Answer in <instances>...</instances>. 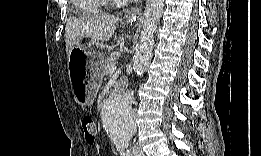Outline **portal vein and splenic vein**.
<instances>
[{
  "label": "portal vein and splenic vein",
  "mask_w": 261,
  "mask_h": 156,
  "mask_svg": "<svg viewBox=\"0 0 261 156\" xmlns=\"http://www.w3.org/2000/svg\"><path fill=\"white\" fill-rule=\"evenodd\" d=\"M116 70H117V66L116 65H112L110 67V74H113Z\"/></svg>",
  "instance_id": "portal-vein-and-splenic-vein-1"
}]
</instances>
